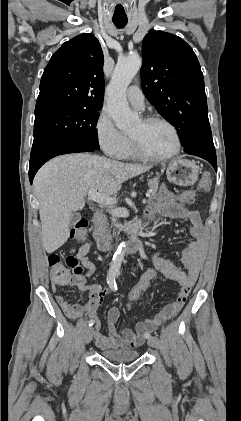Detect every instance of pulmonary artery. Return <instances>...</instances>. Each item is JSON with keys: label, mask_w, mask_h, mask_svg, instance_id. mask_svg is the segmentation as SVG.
I'll return each instance as SVG.
<instances>
[{"label": "pulmonary artery", "mask_w": 241, "mask_h": 421, "mask_svg": "<svg viewBox=\"0 0 241 421\" xmlns=\"http://www.w3.org/2000/svg\"><path fill=\"white\" fill-rule=\"evenodd\" d=\"M126 96L131 105L136 108H143L144 95L137 85L130 86L127 90Z\"/></svg>", "instance_id": "pulmonary-artery-1"}]
</instances>
